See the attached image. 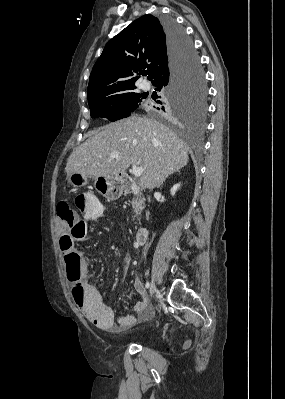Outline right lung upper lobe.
Instances as JSON below:
<instances>
[{
	"mask_svg": "<svg viewBox=\"0 0 285 399\" xmlns=\"http://www.w3.org/2000/svg\"><path fill=\"white\" fill-rule=\"evenodd\" d=\"M168 65V45L162 22L144 15L133 21L105 46L88 84V101L136 88L142 70L150 80Z\"/></svg>",
	"mask_w": 285,
	"mask_h": 399,
	"instance_id": "right-lung-upper-lobe-1",
	"label": "right lung upper lobe"
}]
</instances>
